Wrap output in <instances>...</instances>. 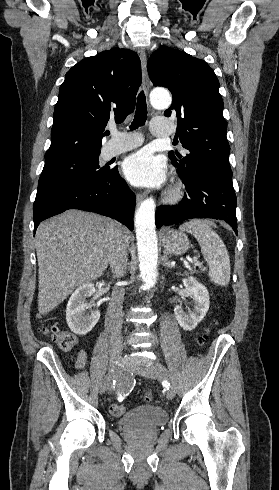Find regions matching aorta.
<instances>
[{"label":"aorta","mask_w":279,"mask_h":490,"mask_svg":"<svg viewBox=\"0 0 279 490\" xmlns=\"http://www.w3.org/2000/svg\"><path fill=\"white\" fill-rule=\"evenodd\" d=\"M153 107L164 109L170 106L171 96L165 90H154L150 95ZM155 201L153 198L144 200L135 215L136 240L139 258L141 288L150 289L156 283L158 246L155 231ZM120 332L117 333V335Z\"/></svg>","instance_id":"762f6f07"}]
</instances>
